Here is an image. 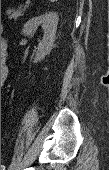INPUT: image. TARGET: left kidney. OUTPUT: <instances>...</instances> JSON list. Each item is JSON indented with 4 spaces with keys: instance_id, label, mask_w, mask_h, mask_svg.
Segmentation results:
<instances>
[{
    "instance_id": "1",
    "label": "left kidney",
    "mask_w": 109,
    "mask_h": 170,
    "mask_svg": "<svg viewBox=\"0 0 109 170\" xmlns=\"http://www.w3.org/2000/svg\"><path fill=\"white\" fill-rule=\"evenodd\" d=\"M42 25L44 36L38 45L34 63L42 61L50 53L54 46L55 34L58 25V15L55 12H48L28 20L22 29L25 36H31L36 27Z\"/></svg>"
}]
</instances>
